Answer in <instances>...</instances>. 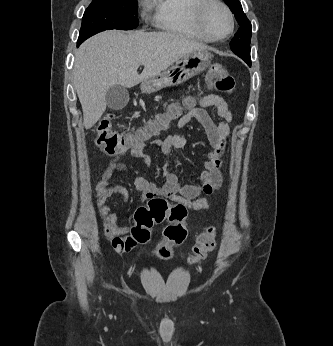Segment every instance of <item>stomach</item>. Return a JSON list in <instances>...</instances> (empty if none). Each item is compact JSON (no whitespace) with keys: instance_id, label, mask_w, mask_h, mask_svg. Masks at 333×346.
Returning a JSON list of instances; mask_svg holds the SVG:
<instances>
[{"instance_id":"obj_1","label":"stomach","mask_w":333,"mask_h":346,"mask_svg":"<svg viewBox=\"0 0 333 346\" xmlns=\"http://www.w3.org/2000/svg\"><path fill=\"white\" fill-rule=\"evenodd\" d=\"M211 59L212 54L206 49L189 53L168 70L144 80L140 85L141 92L151 94L166 87L179 85L207 69Z\"/></svg>"}]
</instances>
